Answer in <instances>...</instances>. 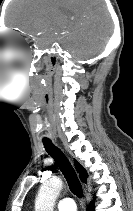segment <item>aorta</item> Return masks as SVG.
Here are the masks:
<instances>
[{
	"label": "aorta",
	"mask_w": 133,
	"mask_h": 211,
	"mask_svg": "<svg viewBox=\"0 0 133 211\" xmlns=\"http://www.w3.org/2000/svg\"><path fill=\"white\" fill-rule=\"evenodd\" d=\"M62 185L59 178H52L43 183L35 200V211H53Z\"/></svg>",
	"instance_id": "obj_1"
}]
</instances>
